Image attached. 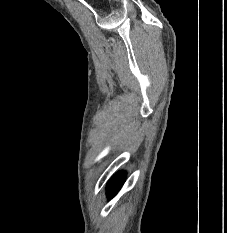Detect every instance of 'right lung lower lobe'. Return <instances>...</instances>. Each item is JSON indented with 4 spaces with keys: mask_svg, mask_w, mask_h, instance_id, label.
<instances>
[{
    "mask_svg": "<svg viewBox=\"0 0 227 233\" xmlns=\"http://www.w3.org/2000/svg\"><path fill=\"white\" fill-rule=\"evenodd\" d=\"M125 181V173L119 172L113 176V178L108 183V197H114L117 192L121 189Z\"/></svg>",
    "mask_w": 227,
    "mask_h": 233,
    "instance_id": "right-lung-lower-lobe-1",
    "label": "right lung lower lobe"
}]
</instances>
